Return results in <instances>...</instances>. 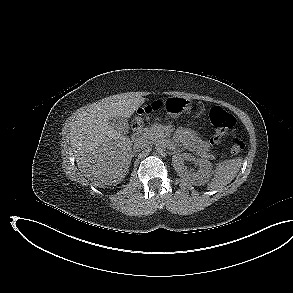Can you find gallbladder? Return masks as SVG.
I'll list each match as a JSON object with an SVG mask.
<instances>
[{
  "label": "gallbladder",
  "instance_id": "1",
  "mask_svg": "<svg viewBox=\"0 0 293 293\" xmlns=\"http://www.w3.org/2000/svg\"><path fill=\"white\" fill-rule=\"evenodd\" d=\"M109 125L123 134L129 133V124L126 118L121 116L111 117L108 121Z\"/></svg>",
  "mask_w": 293,
  "mask_h": 293
}]
</instances>
